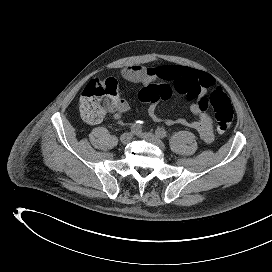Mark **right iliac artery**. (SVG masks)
Listing matches in <instances>:
<instances>
[{
    "instance_id": "obj_1",
    "label": "right iliac artery",
    "mask_w": 272,
    "mask_h": 272,
    "mask_svg": "<svg viewBox=\"0 0 272 272\" xmlns=\"http://www.w3.org/2000/svg\"><path fill=\"white\" fill-rule=\"evenodd\" d=\"M142 131V126L140 122H137L131 126V132L134 134H138Z\"/></svg>"
}]
</instances>
